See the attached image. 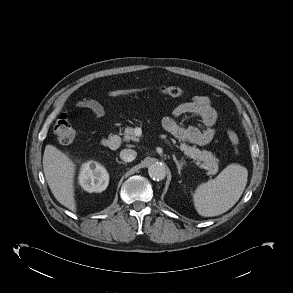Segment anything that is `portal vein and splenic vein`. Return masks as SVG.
Here are the masks:
<instances>
[{
    "instance_id": "portal-vein-and-splenic-vein-1",
    "label": "portal vein and splenic vein",
    "mask_w": 293,
    "mask_h": 293,
    "mask_svg": "<svg viewBox=\"0 0 293 293\" xmlns=\"http://www.w3.org/2000/svg\"><path fill=\"white\" fill-rule=\"evenodd\" d=\"M137 135H138V136L141 135V130H140V129L138 130ZM161 138L165 139V141H166L168 144H170V142L165 138L164 135H162Z\"/></svg>"
}]
</instances>
